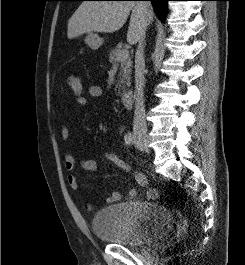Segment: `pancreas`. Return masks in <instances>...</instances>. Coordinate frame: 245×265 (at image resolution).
<instances>
[{"instance_id": "cf45deb5", "label": "pancreas", "mask_w": 245, "mask_h": 265, "mask_svg": "<svg viewBox=\"0 0 245 265\" xmlns=\"http://www.w3.org/2000/svg\"><path fill=\"white\" fill-rule=\"evenodd\" d=\"M122 48H115L110 51L109 53V62L112 65H118L120 63V71H119V79L115 89H118V94H120L121 90L125 89V86H130V74H131V67L132 61L131 58L128 56L126 59L118 60V55L123 51Z\"/></svg>"}]
</instances>
